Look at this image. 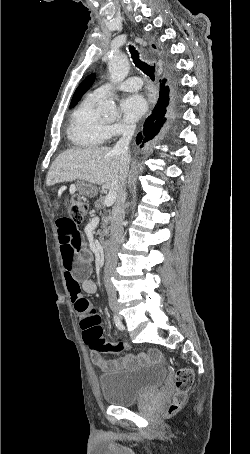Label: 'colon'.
Listing matches in <instances>:
<instances>
[{
    "label": "colon",
    "mask_w": 250,
    "mask_h": 454,
    "mask_svg": "<svg viewBox=\"0 0 250 454\" xmlns=\"http://www.w3.org/2000/svg\"><path fill=\"white\" fill-rule=\"evenodd\" d=\"M88 212V204L80 197L75 196L68 205L69 219L74 224H80ZM83 330L82 337L91 351L98 353L120 352L124 349L121 343H110L104 338L101 326V317L95 312H87L80 318ZM194 380L193 372L188 368L179 369L176 373V392L168 408L169 413H175L184 403Z\"/></svg>",
    "instance_id": "5ec220e1"
}]
</instances>
